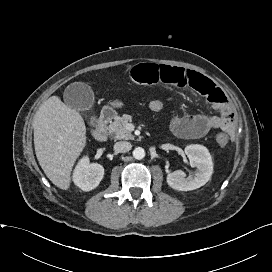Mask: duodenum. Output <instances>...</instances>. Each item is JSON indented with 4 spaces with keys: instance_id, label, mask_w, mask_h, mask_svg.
Wrapping results in <instances>:
<instances>
[{
    "instance_id": "obj_1",
    "label": "duodenum",
    "mask_w": 272,
    "mask_h": 272,
    "mask_svg": "<svg viewBox=\"0 0 272 272\" xmlns=\"http://www.w3.org/2000/svg\"><path fill=\"white\" fill-rule=\"evenodd\" d=\"M114 116L111 109H105L96 121L95 126L91 130L92 136L98 141H105L108 138L107 125Z\"/></svg>"
}]
</instances>
